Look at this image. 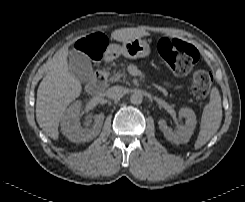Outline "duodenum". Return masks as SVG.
Here are the masks:
<instances>
[{
    "instance_id": "duodenum-1",
    "label": "duodenum",
    "mask_w": 245,
    "mask_h": 202,
    "mask_svg": "<svg viewBox=\"0 0 245 202\" xmlns=\"http://www.w3.org/2000/svg\"><path fill=\"white\" fill-rule=\"evenodd\" d=\"M109 60L106 59V62ZM108 81V75L104 70H99L95 76V79L90 81L86 85L87 92L90 95H96L102 91V89L106 86Z\"/></svg>"
}]
</instances>
